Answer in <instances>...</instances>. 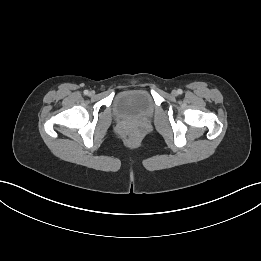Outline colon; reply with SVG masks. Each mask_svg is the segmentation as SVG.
Segmentation results:
<instances>
[{"instance_id":"1","label":"colon","mask_w":261,"mask_h":261,"mask_svg":"<svg viewBox=\"0 0 261 261\" xmlns=\"http://www.w3.org/2000/svg\"><path fill=\"white\" fill-rule=\"evenodd\" d=\"M130 138L132 140H137L139 138V134L136 131L130 133Z\"/></svg>"}]
</instances>
